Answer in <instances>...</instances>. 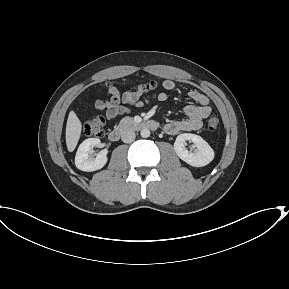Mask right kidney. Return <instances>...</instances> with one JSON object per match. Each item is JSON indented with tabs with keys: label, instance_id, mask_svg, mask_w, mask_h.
Instances as JSON below:
<instances>
[{
	"label": "right kidney",
	"instance_id": "ca27d5eb",
	"mask_svg": "<svg viewBox=\"0 0 289 289\" xmlns=\"http://www.w3.org/2000/svg\"><path fill=\"white\" fill-rule=\"evenodd\" d=\"M101 141L98 138H89L84 140L76 153L75 165L78 169L86 172L101 169L107 162V150H102L96 156L93 155V148L99 147Z\"/></svg>",
	"mask_w": 289,
	"mask_h": 289
}]
</instances>
